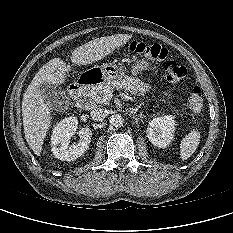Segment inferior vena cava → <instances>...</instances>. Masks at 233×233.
I'll list each match as a JSON object with an SVG mask.
<instances>
[{
    "instance_id": "602c4592",
    "label": "inferior vena cava",
    "mask_w": 233,
    "mask_h": 233,
    "mask_svg": "<svg viewBox=\"0 0 233 233\" xmlns=\"http://www.w3.org/2000/svg\"><path fill=\"white\" fill-rule=\"evenodd\" d=\"M90 116L95 121H103L107 116V112L102 108H95L91 110Z\"/></svg>"
}]
</instances>
